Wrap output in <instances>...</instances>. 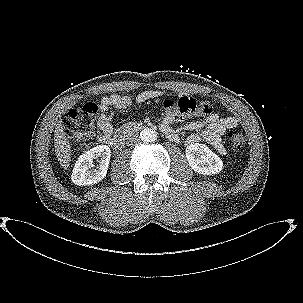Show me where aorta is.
Here are the masks:
<instances>
[{
	"label": "aorta",
	"instance_id": "1",
	"mask_svg": "<svg viewBox=\"0 0 303 303\" xmlns=\"http://www.w3.org/2000/svg\"><path fill=\"white\" fill-rule=\"evenodd\" d=\"M140 138L145 143L154 142L157 139V132L153 128H144L140 133Z\"/></svg>",
	"mask_w": 303,
	"mask_h": 303
}]
</instances>
